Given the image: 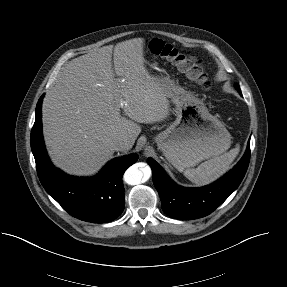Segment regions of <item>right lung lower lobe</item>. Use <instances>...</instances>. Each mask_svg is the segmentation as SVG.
<instances>
[{
    "label": "right lung lower lobe",
    "instance_id": "98d812e1",
    "mask_svg": "<svg viewBox=\"0 0 287 287\" xmlns=\"http://www.w3.org/2000/svg\"><path fill=\"white\" fill-rule=\"evenodd\" d=\"M42 101L43 96L36 106L35 123L31 130V149L43 187L73 217L93 223L116 219L124 210L122 175L138 160V155L115 158L94 177L65 174L52 165L45 149L42 135Z\"/></svg>",
    "mask_w": 287,
    "mask_h": 287
}]
</instances>
